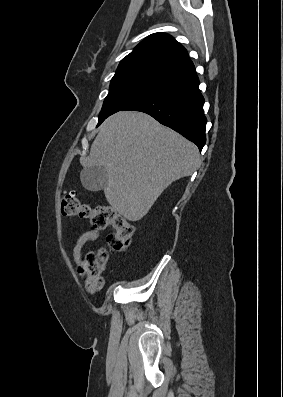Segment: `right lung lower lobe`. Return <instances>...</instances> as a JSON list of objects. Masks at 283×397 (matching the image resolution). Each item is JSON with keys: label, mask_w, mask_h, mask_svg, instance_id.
<instances>
[{"label": "right lung lower lobe", "mask_w": 283, "mask_h": 397, "mask_svg": "<svg viewBox=\"0 0 283 397\" xmlns=\"http://www.w3.org/2000/svg\"><path fill=\"white\" fill-rule=\"evenodd\" d=\"M204 102L194 73L151 92L121 111L147 113L195 143L201 151L206 143Z\"/></svg>", "instance_id": "98d812e1"}]
</instances>
